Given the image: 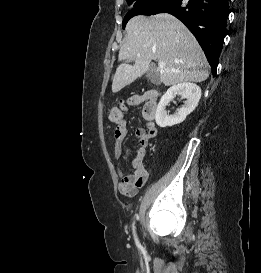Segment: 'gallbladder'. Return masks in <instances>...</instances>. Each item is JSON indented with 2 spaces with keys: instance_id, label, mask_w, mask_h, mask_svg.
<instances>
[{
  "instance_id": "bac80fb5",
  "label": "gallbladder",
  "mask_w": 261,
  "mask_h": 273,
  "mask_svg": "<svg viewBox=\"0 0 261 273\" xmlns=\"http://www.w3.org/2000/svg\"><path fill=\"white\" fill-rule=\"evenodd\" d=\"M146 76L151 81V83H153V84L159 83L158 71L153 65L150 66L149 70L147 71Z\"/></svg>"
}]
</instances>
